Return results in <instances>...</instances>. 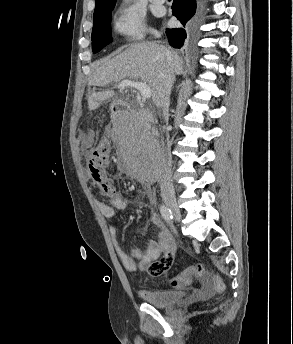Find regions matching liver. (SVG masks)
I'll return each instance as SVG.
<instances>
[{
	"instance_id": "1",
	"label": "liver",
	"mask_w": 293,
	"mask_h": 344,
	"mask_svg": "<svg viewBox=\"0 0 293 344\" xmlns=\"http://www.w3.org/2000/svg\"><path fill=\"white\" fill-rule=\"evenodd\" d=\"M167 50L172 53L170 65L174 75H181L184 72V63L177 52L158 43L147 42L133 44L105 62L91 75L89 84L104 87L125 79L141 80L150 87L153 102L156 104L163 84L164 69L168 64ZM114 97L116 93L113 90L93 92L88 98L89 109L95 110L104 101Z\"/></svg>"
}]
</instances>
